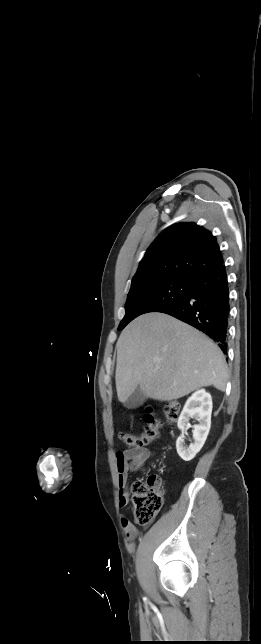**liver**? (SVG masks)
<instances>
[{
	"label": "liver",
	"instance_id": "1",
	"mask_svg": "<svg viewBox=\"0 0 261 644\" xmlns=\"http://www.w3.org/2000/svg\"><path fill=\"white\" fill-rule=\"evenodd\" d=\"M116 348L115 381L122 403L137 387L158 401L179 399L201 387L226 389L228 370L220 348L167 314L137 317L122 331Z\"/></svg>",
	"mask_w": 261,
	"mask_h": 644
}]
</instances>
